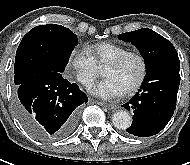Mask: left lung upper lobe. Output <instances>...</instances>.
<instances>
[{"label":"left lung upper lobe","mask_w":190,"mask_h":165,"mask_svg":"<svg viewBox=\"0 0 190 165\" xmlns=\"http://www.w3.org/2000/svg\"><path fill=\"white\" fill-rule=\"evenodd\" d=\"M118 38L131 42L140 51L145 61L146 71L164 62L179 60L171 42L148 28L123 33L118 35Z\"/></svg>","instance_id":"5c2ea615"}]
</instances>
